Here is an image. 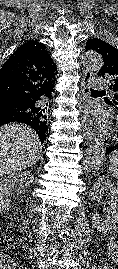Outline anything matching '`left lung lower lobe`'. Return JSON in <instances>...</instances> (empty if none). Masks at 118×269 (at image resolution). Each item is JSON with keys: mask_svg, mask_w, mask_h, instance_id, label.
Here are the masks:
<instances>
[{"mask_svg": "<svg viewBox=\"0 0 118 269\" xmlns=\"http://www.w3.org/2000/svg\"><path fill=\"white\" fill-rule=\"evenodd\" d=\"M114 150H118V144L107 147V148H106V155H107V154H110V153H111L112 151H114Z\"/></svg>", "mask_w": 118, "mask_h": 269, "instance_id": "left-lung-lower-lobe-1", "label": "left lung lower lobe"}]
</instances>
